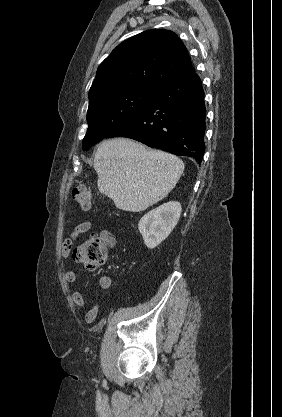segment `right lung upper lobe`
<instances>
[{"instance_id":"right-lung-upper-lobe-1","label":"right lung upper lobe","mask_w":282,"mask_h":417,"mask_svg":"<svg viewBox=\"0 0 282 417\" xmlns=\"http://www.w3.org/2000/svg\"><path fill=\"white\" fill-rule=\"evenodd\" d=\"M194 72L174 32L148 30L123 41L100 64L89 97L130 88L158 91Z\"/></svg>"}]
</instances>
